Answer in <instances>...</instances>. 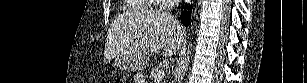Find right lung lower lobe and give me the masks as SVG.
<instances>
[{
  "mask_svg": "<svg viewBox=\"0 0 307 83\" xmlns=\"http://www.w3.org/2000/svg\"><path fill=\"white\" fill-rule=\"evenodd\" d=\"M187 8V7H186ZM190 19H191V12H187L185 13L182 12L181 14V22L185 25V26H189L190 24Z\"/></svg>",
  "mask_w": 307,
  "mask_h": 83,
  "instance_id": "98d812e1",
  "label": "right lung lower lobe"
}]
</instances>
